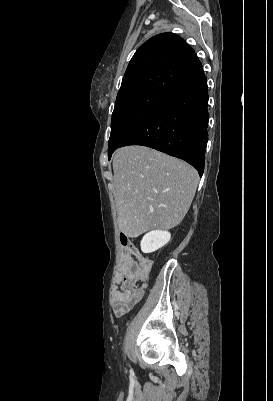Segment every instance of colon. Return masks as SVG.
Returning <instances> with one entry per match:
<instances>
[{"label": "colon", "mask_w": 273, "mask_h": 401, "mask_svg": "<svg viewBox=\"0 0 273 401\" xmlns=\"http://www.w3.org/2000/svg\"><path fill=\"white\" fill-rule=\"evenodd\" d=\"M126 261L120 263L118 274L121 278L118 281L119 287L114 288V297H143L144 286L136 282H146L147 276L152 268L150 257H140L139 261L132 256L131 250L125 251Z\"/></svg>", "instance_id": "obj_1"}]
</instances>
